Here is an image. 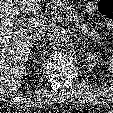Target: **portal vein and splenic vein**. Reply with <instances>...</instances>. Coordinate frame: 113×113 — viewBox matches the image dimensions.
I'll return each instance as SVG.
<instances>
[{
  "label": "portal vein and splenic vein",
  "instance_id": "obj_1",
  "mask_svg": "<svg viewBox=\"0 0 113 113\" xmlns=\"http://www.w3.org/2000/svg\"><path fill=\"white\" fill-rule=\"evenodd\" d=\"M26 23H25V18L24 19H19L16 23H15V27L16 29L22 30L24 29Z\"/></svg>",
  "mask_w": 113,
  "mask_h": 113
}]
</instances>
